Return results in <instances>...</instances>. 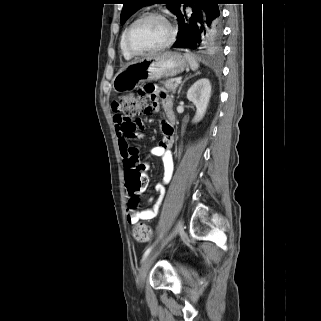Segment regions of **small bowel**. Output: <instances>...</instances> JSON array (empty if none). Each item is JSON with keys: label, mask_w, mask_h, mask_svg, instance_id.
I'll return each mask as SVG.
<instances>
[{"label": "small bowel", "mask_w": 321, "mask_h": 321, "mask_svg": "<svg viewBox=\"0 0 321 321\" xmlns=\"http://www.w3.org/2000/svg\"><path fill=\"white\" fill-rule=\"evenodd\" d=\"M136 95L148 98L149 102H153L151 109L156 108L158 98L161 99V103L165 112V119L161 123V131L163 134L162 140L159 144L152 148L151 153L156 157H160L163 163V183L158 184L155 190L160 193L159 198L153 202V199H149L151 206L142 210H135L131 205L127 207L126 216L127 221L130 224H135L138 221H149L156 218L160 211V203L163 193V184L169 182L174 168L173 156L170 148L174 142L175 134V113L173 110V102L168 94L160 90L156 86L155 82H142L141 86L136 87ZM112 110L114 111V124L116 135L118 139V145L120 154L125 164L132 158H139V151L135 146L130 144L132 140H139L143 137L142 129L143 123L140 120L126 119L118 112L117 103H112Z\"/></svg>", "instance_id": "small-bowel-1"}]
</instances>
